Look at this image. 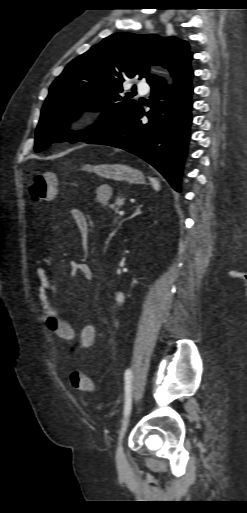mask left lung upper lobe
<instances>
[{"mask_svg": "<svg viewBox=\"0 0 247 513\" xmlns=\"http://www.w3.org/2000/svg\"><path fill=\"white\" fill-rule=\"evenodd\" d=\"M192 57L186 41L175 37L115 33L72 60L52 83L36 129L34 149L51 143L86 142L111 129L139 103L126 94L122 83L145 77L150 86L162 78L148 74L149 64H158L173 74ZM102 111L100 123L72 134L67 122L82 111Z\"/></svg>", "mask_w": 247, "mask_h": 513, "instance_id": "left-lung-upper-lobe-1", "label": "left lung upper lobe"}]
</instances>
